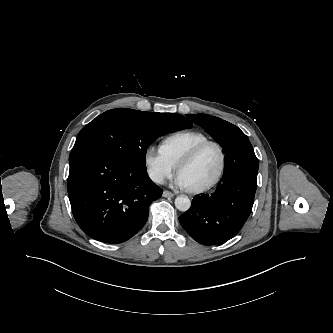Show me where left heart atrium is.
<instances>
[{"mask_svg": "<svg viewBox=\"0 0 333 333\" xmlns=\"http://www.w3.org/2000/svg\"><path fill=\"white\" fill-rule=\"evenodd\" d=\"M175 184L180 188H184V189L188 188L185 181L183 180V178L180 175L177 177Z\"/></svg>", "mask_w": 333, "mask_h": 333, "instance_id": "left-heart-atrium-1", "label": "left heart atrium"}]
</instances>
